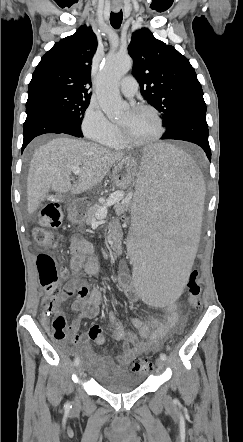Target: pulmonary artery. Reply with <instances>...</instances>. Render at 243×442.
<instances>
[{
	"label": "pulmonary artery",
	"instance_id": "obj_1",
	"mask_svg": "<svg viewBox=\"0 0 243 442\" xmlns=\"http://www.w3.org/2000/svg\"><path fill=\"white\" fill-rule=\"evenodd\" d=\"M120 90L124 96L132 99L137 93L138 83L132 76H126L120 83Z\"/></svg>",
	"mask_w": 243,
	"mask_h": 442
}]
</instances>
